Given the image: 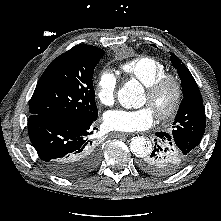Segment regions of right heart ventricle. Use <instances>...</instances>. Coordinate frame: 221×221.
I'll return each mask as SVG.
<instances>
[{
	"mask_svg": "<svg viewBox=\"0 0 221 221\" xmlns=\"http://www.w3.org/2000/svg\"><path fill=\"white\" fill-rule=\"evenodd\" d=\"M121 71L134 78L144 86H148L167 74V67L158 59L150 56H140L121 65Z\"/></svg>",
	"mask_w": 221,
	"mask_h": 221,
	"instance_id": "right-heart-ventricle-1",
	"label": "right heart ventricle"
}]
</instances>
